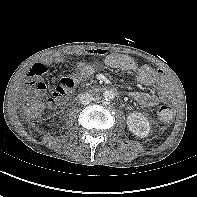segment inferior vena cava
Segmentation results:
<instances>
[{"mask_svg":"<svg viewBox=\"0 0 197 197\" xmlns=\"http://www.w3.org/2000/svg\"><path fill=\"white\" fill-rule=\"evenodd\" d=\"M79 100H80V103L83 104V105H88L92 100H93V97L91 94L89 93H82L80 96H79Z\"/></svg>","mask_w":197,"mask_h":197,"instance_id":"inferior-vena-cava-1","label":"inferior vena cava"}]
</instances>
